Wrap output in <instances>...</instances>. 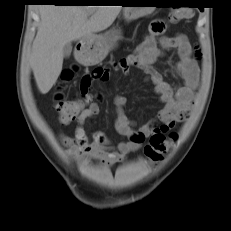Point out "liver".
I'll return each instance as SVG.
<instances>
[{
	"instance_id": "obj_1",
	"label": "liver",
	"mask_w": 231,
	"mask_h": 231,
	"mask_svg": "<svg viewBox=\"0 0 231 231\" xmlns=\"http://www.w3.org/2000/svg\"><path fill=\"white\" fill-rule=\"evenodd\" d=\"M121 8L85 5L39 8L41 21L32 46L31 67L42 94L50 91L61 73L64 45L107 29Z\"/></svg>"
}]
</instances>
